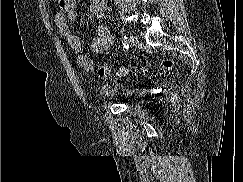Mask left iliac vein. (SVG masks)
Masks as SVG:
<instances>
[{"mask_svg": "<svg viewBox=\"0 0 243 182\" xmlns=\"http://www.w3.org/2000/svg\"><path fill=\"white\" fill-rule=\"evenodd\" d=\"M129 42L132 46H137L139 44V38L136 35H131L129 37Z\"/></svg>", "mask_w": 243, "mask_h": 182, "instance_id": "left-iliac-vein-1", "label": "left iliac vein"}]
</instances>
